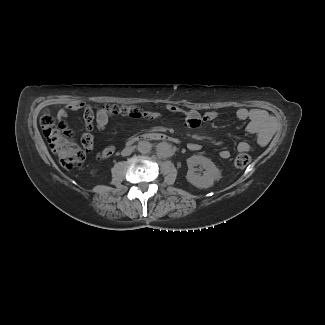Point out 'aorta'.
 <instances>
[{
    "label": "aorta",
    "instance_id": "1",
    "mask_svg": "<svg viewBox=\"0 0 325 325\" xmlns=\"http://www.w3.org/2000/svg\"><path fill=\"white\" fill-rule=\"evenodd\" d=\"M137 148L140 153L147 154L151 151L152 144L148 141H140Z\"/></svg>",
    "mask_w": 325,
    "mask_h": 325
}]
</instances>
